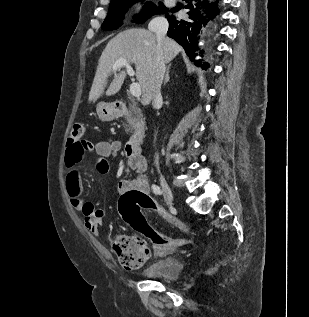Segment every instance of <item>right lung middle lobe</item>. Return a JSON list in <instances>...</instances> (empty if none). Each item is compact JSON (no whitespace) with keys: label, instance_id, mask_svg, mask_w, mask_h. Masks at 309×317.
Here are the masks:
<instances>
[{"label":"right lung middle lobe","instance_id":"right-lung-middle-lobe-1","mask_svg":"<svg viewBox=\"0 0 309 317\" xmlns=\"http://www.w3.org/2000/svg\"><path fill=\"white\" fill-rule=\"evenodd\" d=\"M143 1L144 0H111L107 17L101 25V28L105 31L117 29L122 24L124 14L128 8L137 2ZM147 4H149V6L145 8L144 12L135 16L134 21L136 23H142L153 14L163 13L167 10L163 4H160L159 9L151 2Z\"/></svg>","mask_w":309,"mask_h":317}]
</instances>
